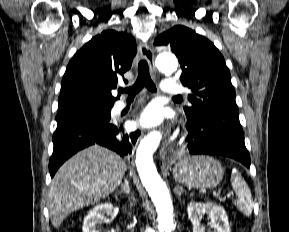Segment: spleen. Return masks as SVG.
Masks as SVG:
<instances>
[{"label":"spleen","mask_w":289,"mask_h":232,"mask_svg":"<svg viewBox=\"0 0 289 232\" xmlns=\"http://www.w3.org/2000/svg\"><path fill=\"white\" fill-rule=\"evenodd\" d=\"M231 185L236 194L235 205L245 215L250 216L253 209L251 191L239 171L231 174Z\"/></svg>","instance_id":"1"}]
</instances>
